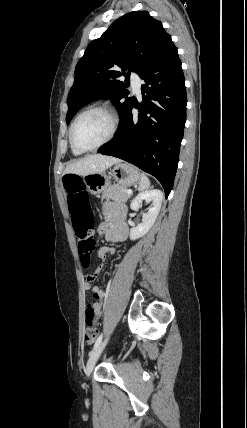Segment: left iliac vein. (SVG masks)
Masks as SVG:
<instances>
[{"mask_svg":"<svg viewBox=\"0 0 247 428\" xmlns=\"http://www.w3.org/2000/svg\"><path fill=\"white\" fill-rule=\"evenodd\" d=\"M108 339H105L103 342H101L90 354V357L88 359L87 365H86V375L89 377L91 372L94 369V366L98 360V358L100 357L104 347L107 344Z\"/></svg>","mask_w":247,"mask_h":428,"instance_id":"4c4485c4","label":"left iliac vein"}]
</instances>
